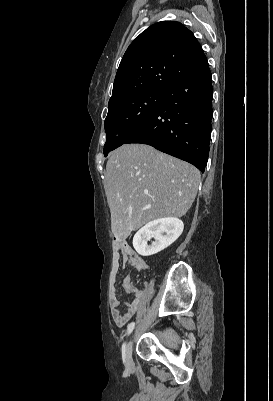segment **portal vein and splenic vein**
Masks as SVG:
<instances>
[{"instance_id":"1","label":"portal vein and splenic vein","mask_w":273,"mask_h":401,"mask_svg":"<svg viewBox=\"0 0 273 401\" xmlns=\"http://www.w3.org/2000/svg\"><path fill=\"white\" fill-rule=\"evenodd\" d=\"M145 209H149V205H147V207H145Z\"/></svg>"}]
</instances>
